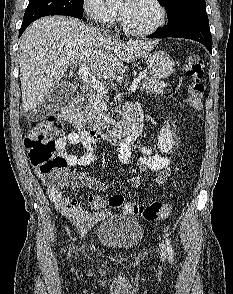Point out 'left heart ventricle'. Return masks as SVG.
Masks as SVG:
<instances>
[{"label": "left heart ventricle", "instance_id": "obj_1", "mask_svg": "<svg viewBox=\"0 0 233 294\" xmlns=\"http://www.w3.org/2000/svg\"><path fill=\"white\" fill-rule=\"evenodd\" d=\"M119 10L127 23L135 29H147L159 17L158 9L150 0H123Z\"/></svg>", "mask_w": 233, "mask_h": 294}]
</instances>
